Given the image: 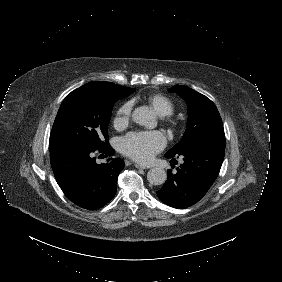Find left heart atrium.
I'll return each mask as SVG.
<instances>
[{
	"instance_id": "obj_1",
	"label": "left heart atrium",
	"mask_w": 282,
	"mask_h": 282,
	"mask_svg": "<svg viewBox=\"0 0 282 282\" xmlns=\"http://www.w3.org/2000/svg\"><path fill=\"white\" fill-rule=\"evenodd\" d=\"M165 139L159 132L130 133L121 139V150L134 160L146 163L163 149Z\"/></svg>"
}]
</instances>
